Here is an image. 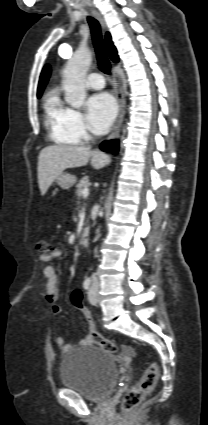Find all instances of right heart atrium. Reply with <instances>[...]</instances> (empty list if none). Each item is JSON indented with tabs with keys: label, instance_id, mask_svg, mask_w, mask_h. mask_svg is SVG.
Here are the masks:
<instances>
[{
	"label": "right heart atrium",
	"instance_id": "right-heart-atrium-1",
	"mask_svg": "<svg viewBox=\"0 0 208 425\" xmlns=\"http://www.w3.org/2000/svg\"><path fill=\"white\" fill-rule=\"evenodd\" d=\"M65 119L68 129L78 141L84 142L89 139L88 128L82 113L66 108Z\"/></svg>",
	"mask_w": 208,
	"mask_h": 425
}]
</instances>
